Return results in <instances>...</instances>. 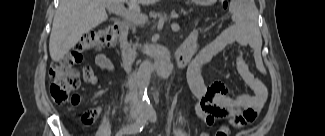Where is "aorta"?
I'll return each mask as SVG.
<instances>
[{
	"mask_svg": "<svg viewBox=\"0 0 325 136\" xmlns=\"http://www.w3.org/2000/svg\"><path fill=\"white\" fill-rule=\"evenodd\" d=\"M152 64L150 60H144L137 72V88L139 95V105L143 113H152L153 107L147 95V89L150 84Z\"/></svg>",
	"mask_w": 325,
	"mask_h": 136,
	"instance_id": "obj_1",
	"label": "aorta"
}]
</instances>
